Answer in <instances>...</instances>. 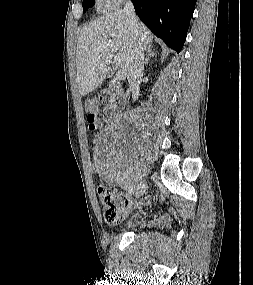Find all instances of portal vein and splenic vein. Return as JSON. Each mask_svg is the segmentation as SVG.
I'll return each instance as SVG.
<instances>
[{
	"label": "portal vein and splenic vein",
	"instance_id": "obj_1",
	"mask_svg": "<svg viewBox=\"0 0 253 285\" xmlns=\"http://www.w3.org/2000/svg\"><path fill=\"white\" fill-rule=\"evenodd\" d=\"M114 62H115L116 67L120 65L121 60H120V58H119L118 55H115V56H114Z\"/></svg>",
	"mask_w": 253,
	"mask_h": 285
}]
</instances>
